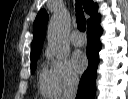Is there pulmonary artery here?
<instances>
[{
  "mask_svg": "<svg viewBox=\"0 0 128 99\" xmlns=\"http://www.w3.org/2000/svg\"><path fill=\"white\" fill-rule=\"evenodd\" d=\"M71 42L75 46H82L85 43V38L79 31H74L71 35Z\"/></svg>",
  "mask_w": 128,
  "mask_h": 99,
  "instance_id": "e3ab8cb5",
  "label": "pulmonary artery"
}]
</instances>
